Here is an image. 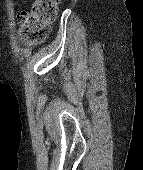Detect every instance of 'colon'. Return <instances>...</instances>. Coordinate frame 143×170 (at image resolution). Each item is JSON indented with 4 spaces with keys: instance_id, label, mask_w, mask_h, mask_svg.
<instances>
[{
    "instance_id": "1",
    "label": "colon",
    "mask_w": 143,
    "mask_h": 170,
    "mask_svg": "<svg viewBox=\"0 0 143 170\" xmlns=\"http://www.w3.org/2000/svg\"><path fill=\"white\" fill-rule=\"evenodd\" d=\"M60 0H35L29 11L22 12L20 27L27 40L40 43L46 39L58 13Z\"/></svg>"
}]
</instances>
